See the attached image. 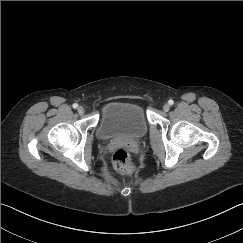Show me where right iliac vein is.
I'll return each instance as SVG.
<instances>
[{"mask_svg": "<svg viewBox=\"0 0 243 243\" xmlns=\"http://www.w3.org/2000/svg\"><path fill=\"white\" fill-rule=\"evenodd\" d=\"M77 110H78L79 114H83L84 113V108L82 106H79Z\"/></svg>", "mask_w": 243, "mask_h": 243, "instance_id": "obj_1", "label": "right iliac vein"}]
</instances>
